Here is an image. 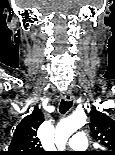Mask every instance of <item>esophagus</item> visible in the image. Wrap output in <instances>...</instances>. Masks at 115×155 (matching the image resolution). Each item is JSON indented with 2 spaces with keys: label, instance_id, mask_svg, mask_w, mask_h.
Wrapping results in <instances>:
<instances>
[{
  "label": "esophagus",
  "instance_id": "esophagus-1",
  "mask_svg": "<svg viewBox=\"0 0 115 155\" xmlns=\"http://www.w3.org/2000/svg\"><path fill=\"white\" fill-rule=\"evenodd\" d=\"M74 95L72 94V93H66L65 95H64V97H63V99L65 100V101H72V100H74Z\"/></svg>",
  "mask_w": 115,
  "mask_h": 155
}]
</instances>
